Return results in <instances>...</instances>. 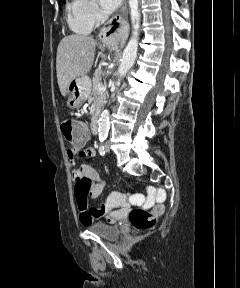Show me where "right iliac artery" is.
I'll return each mask as SVG.
<instances>
[{"label": "right iliac artery", "mask_w": 240, "mask_h": 288, "mask_svg": "<svg viewBox=\"0 0 240 288\" xmlns=\"http://www.w3.org/2000/svg\"><path fill=\"white\" fill-rule=\"evenodd\" d=\"M105 153H106L105 147H104V145H101V146L99 147V154H100L101 156H104Z\"/></svg>", "instance_id": "obj_1"}]
</instances>
